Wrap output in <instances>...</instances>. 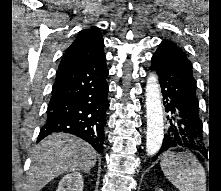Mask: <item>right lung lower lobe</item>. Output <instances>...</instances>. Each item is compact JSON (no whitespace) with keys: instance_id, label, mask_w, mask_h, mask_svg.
Returning <instances> with one entry per match:
<instances>
[{"instance_id":"obj_1","label":"right lung lower lobe","mask_w":221,"mask_h":191,"mask_svg":"<svg viewBox=\"0 0 221 191\" xmlns=\"http://www.w3.org/2000/svg\"><path fill=\"white\" fill-rule=\"evenodd\" d=\"M106 59H96L58 70L37 142L54 132L74 134L103 152L108 85Z\"/></svg>"}]
</instances>
